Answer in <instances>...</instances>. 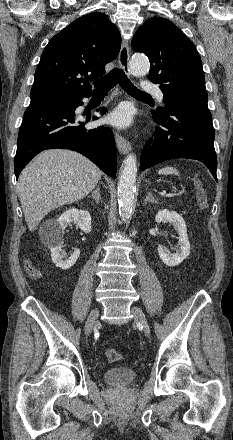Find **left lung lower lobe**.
<instances>
[{
  "label": "left lung lower lobe",
  "instance_id": "left-lung-lower-lobe-1",
  "mask_svg": "<svg viewBox=\"0 0 233 440\" xmlns=\"http://www.w3.org/2000/svg\"><path fill=\"white\" fill-rule=\"evenodd\" d=\"M152 113L159 126L154 139L142 150L140 169L169 159L188 158L203 162L217 180L214 128L207 102L173 100L165 103L162 112Z\"/></svg>",
  "mask_w": 233,
  "mask_h": 440
}]
</instances>
